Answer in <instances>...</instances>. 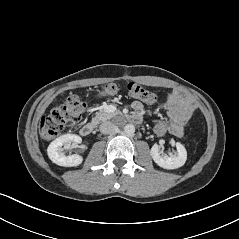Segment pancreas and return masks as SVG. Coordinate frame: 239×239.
<instances>
[{
  "label": "pancreas",
  "instance_id": "pancreas-1",
  "mask_svg": "<svg viewBox=\"0 0 239 239\" xmlns=\"http://www.w3.org/2000/svg\"><path fill=\"white\" fill-rule=\"evenodd\" d=\"M113 116L114 114L112 113H107L104 110H100L99 112L96 113L95 117L93 118V121L95 123L104 122L106 120L111 119Z\"/></svg>",
  "mask_w": 239,
  "mask_h": 239
}]
</instances>
